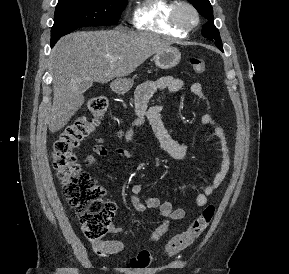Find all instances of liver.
<instances>
[{
  "instance_id": "1",
  "label": "liver",
  "mask_w": 289,
  "mask_h": 274,
  "mask_svg": "<svg viewBox=\"0 0 289 274\" xmlns=\"http://www.w3.org/2000/svg\"><path fill=\"white\" fill-rule=\"evenodd\" d=\"M170 43L146 33L121 30L80 31L61 38L51 52L53 105L49 130L58 132L81 108L83 83H107L130 75Z\"/></svg>"
}]
</instances>
